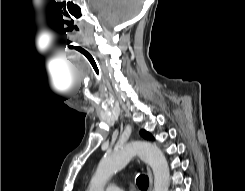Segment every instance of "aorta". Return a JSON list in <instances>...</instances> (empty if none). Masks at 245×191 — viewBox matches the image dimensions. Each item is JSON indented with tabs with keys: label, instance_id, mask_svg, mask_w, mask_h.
Returning <instances> with one entry per match:
<instances>
[{
	"label": "aorta",
	"instance_id": "obj_1",
	"mask_svg": "<svg viewBox=\"0 0 245 191\" xmlns=\"http://www.w3.org/2000/svg\"><path fill=\"white\" fill-rule=\"evenodd\" d=\"M135 155H138L152 168L153 191H168L170 171L166 157L156 145L145 141L130 142L106 154L98 164L89 191H104L109 178L123 169Z\"/></svg>",
	"mask_w": 245,
	"mask_h": 191
}]
</instances>
